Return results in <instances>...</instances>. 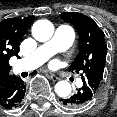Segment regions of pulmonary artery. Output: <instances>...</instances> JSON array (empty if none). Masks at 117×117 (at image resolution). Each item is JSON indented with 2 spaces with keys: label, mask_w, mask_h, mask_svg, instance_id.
<instances>
[{
  "label": "pulmonary artery",
  "mask_w": 117,
  "mask_h": 117,
  "mask_svg": "<svg viewBox=\"0 0 117 117\" xmlns=\"http://www.w3.org/2000/svg\"><path fill=\"white\" fill-rule=\"evenodd\" d=\"M74 31L66 24L59 25L53 37L40 45L32 54L19 61V67L22 70H31L44 64L51 56L57 52L65 51L71 47L74 41ZM78 85L82 84L78 80Z\"/></svg>",
  "instance_id": "1"
}]
</instances>
